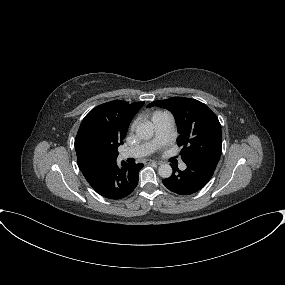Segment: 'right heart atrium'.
<instances>
[{
	"instance_id": "right-heart-atrium-1",
	"label": "right heart atrium",
	"mask_w": 285,
	"mask_h": 285,
	"mask_svg": "<svg viewBox=\"0 0 285 285\" xmlns=\"http://www.w3.org/2000/svg\"><path fill=\"white\" fill-rule=\"evenodd\" d=\"M134 127H135V121H133V122L131 123V125H130V129H131V130H133V129H134Z\"/></svg>"
}]
</instances>
